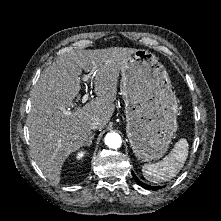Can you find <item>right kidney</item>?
Returning <instances> with one entry per match:
<instances>
[{"label": "right kidney", "instance_id": "1", "mask_svg": "<svg viewBox=\"0 0 221 221\" xmlns=\"http://www.w3.org/2000/svg\"><path fill=\"white\" fill-rule=\"evenodd\" d=\"M84 156V152H78L76 155L77 160H80Z\"/></svg>", "mask_w": 221, "mask_h": 221}]
</instances>
